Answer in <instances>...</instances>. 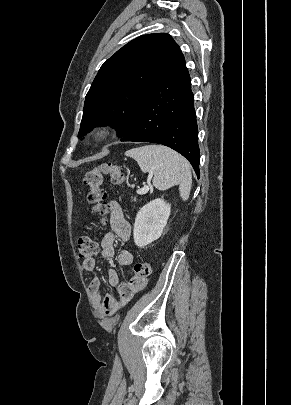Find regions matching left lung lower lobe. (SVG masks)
I'll use <instances>...</instances> for the list:
<instances>
[{
    "mask_svg": "<svg viewBox=\"0 0 291 405\" xmlns=\"http://www.w3.org/2000/svg\"><path fill=\"white\" fill-rule=\"evenodd\" d=\"M191 79L182 53L143 98L131 130L121 141L168 146L187 158L199 178L200 153Z\"/></svg>",
    "mask_w": 291,
    "mask_h": 405,
    "instance_id": "left-lung-lower-lobe-1",
    "label": "left lung lower lobe"
}]
</instances>
